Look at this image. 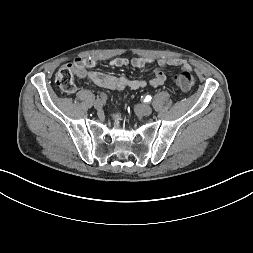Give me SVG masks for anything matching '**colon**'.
<instances>
[{"mask_svg": "<svg viewBox=\"0 0 253 253\" xmlns=\"http://www.w3.org/2000/svg\"><path fill=\"white\" fill-rule=\"evenodd\" d=\"M76 67L72 63L64 64L56 73L55 81L59 88L67 93L76 90L74 76ZM174 82L182 90H189L195 84V77L188 71H183L174 76Z\"/></svg>", "mask_w": 253, "mask_h": 253, "instance_id": "colon-1", "label": "colon"}]
</instances>
